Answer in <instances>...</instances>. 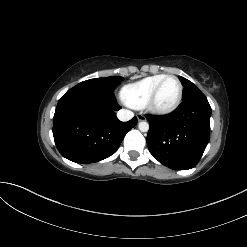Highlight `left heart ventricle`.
<instances>
[{
  "mask_svg": "<svg viewBox=\"0 0 247 247\" xmlns=\"http://www.w3.org/2000/svg\"><path fill=\"white\" fill-rule=\"evenodd\" d=\"M179 93V86L175 79L166 80L156 99V106L159 108H167L171 106L177 99Z\"/></svg>",
  "mask_w": 247,
  "mask_h": 247,
  "instance_id": "b2bd125f",
  "label": "left heart ventricle"
}]
</instances>
